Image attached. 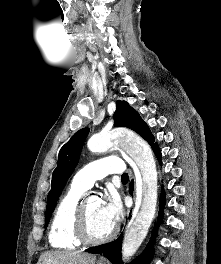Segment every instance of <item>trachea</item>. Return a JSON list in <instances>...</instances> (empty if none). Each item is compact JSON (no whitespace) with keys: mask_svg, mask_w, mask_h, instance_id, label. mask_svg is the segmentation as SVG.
Listing matches in <instances>:
<instances>
[{"mask_svg":"<svg viewBox=\"0 0 221 264\" xmlns=\"http://www.w3.org/2000/svg\"><path fill=\"white\" fill-rule=\"evenodd\" d=\"M121 180H122V181H128V174H127V173H124V174L121 176Z\"/></svg>","mask_w":221,"mask_h":264,"instance_id":"trachea-1","label":"trachea"}]
</instances>
